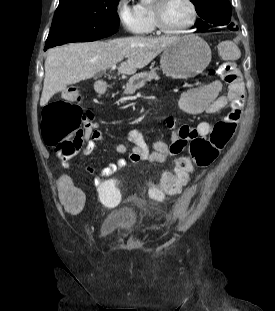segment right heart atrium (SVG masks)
<instances>
[{
    "label": "right heart atrium",
    "instance_id": "1",
    "mask_svg": "<svg viewBox=\"0 0 275 311\" xmlns=\"http://www.w3.org/2000/svg\"><path fill=\"white\" fill-rule=\"evenodd\" d=\"M115 13L120 25L127 32L141 34L145 30V21L130 0H117Z\"/></svg>",
    "mask_w": 275,
    "mask_h": 311
}]
</instances>
